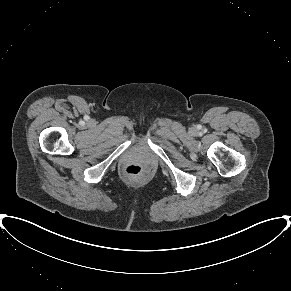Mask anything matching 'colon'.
<instances>
[{"label": "colon", "mask_w": 291, "mask_h": 291, "mask_svg": "<svg viewBox=\"0 0 291 291\" xmlns=\"http://www.w3.org/2000/svg\"><path fill=\"white\" fill-rule=\"evenodd\" d=\"M125 174L131 177H138L142 175L143 173V168L139 165H129L125 169Z\"/></svg>", "instance_id": "1"}]
</instances>
